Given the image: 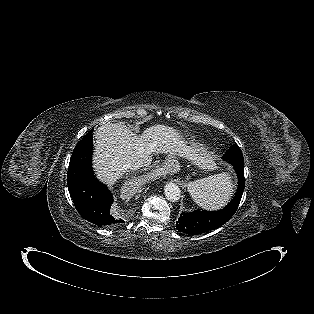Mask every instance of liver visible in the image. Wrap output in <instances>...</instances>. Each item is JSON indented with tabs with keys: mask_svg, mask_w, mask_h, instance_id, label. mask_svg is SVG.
<instances>
[{
	"mask_svg": "<svg viewBox=\"0 0 314 314\" xmlns=\"http://www.w3.org/2000/svg\"><path fill=\"white\" fill-rule=\"evenodd\" d=\"M94 137V168L98 178L108 185L127 172L129 163L142 160L144 165H150L152 154L164 153L168 158L193 155L179 133L165 125L151 126L138 136L125 125L106 123L95 131Z\"/></svg>",
	"mask_w": 314,
	"mask_h": 314,
	"instance_id": "1",
	"label": "liver"
}]
</instances>
